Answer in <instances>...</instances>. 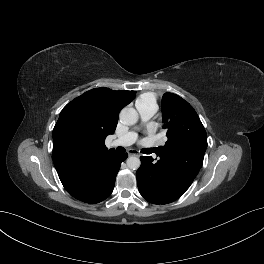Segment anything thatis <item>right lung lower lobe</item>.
I'll list each match as a JSON object with an SVG mask.
<instances>
[{
  "mask_svg": "<svg viewBox=\"0 0 264 264\" xmlns=\"http://www.w3.org/2000/svg\"><path fill=\"white\" fill-rule=\"evenodd\" d=\"M127 156L116 151L106 155L89 173L85 189L70 194L86 203L103 201L111 195L120 165Z\"/></svg>",
  "mask_w": 264,
  "mask_h": 264,
  "instance_id": "98d812e1",
  "label": "right lung lower lobe"
}]
</instances>
